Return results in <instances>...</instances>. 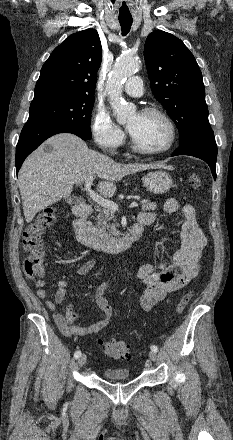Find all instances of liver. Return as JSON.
I'll list each match as a JSON object with an SVG mask.
<instances>
[{
    "label": "liver",
    "mask_w": 233,
    "mask_h": 440,
    "mask_svg": "<svg viewBox=\"0 0 233 440\" xmlns=\"http://www.w3.org/2000/svg\"><path fill=\"white\" fill-rule=\"evenodd\" d=\"M45 146H50L52 150L45 152ZM163 167L166 166L162 163H117L106 155L90 150L76 135L59 133L34 151L19 171L18 182L25 220L30 223L38 212L70 196L73 185L84 182L88 177L101 178L103 181L99 182L98 191L110 197L116 192L115 182L123 177Z\"/></svg>",
    "instance_id": "obj_1"
}]
</instances>
